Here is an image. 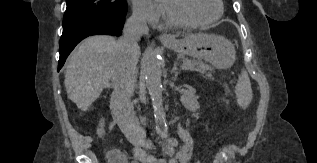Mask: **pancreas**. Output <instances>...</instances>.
I'll list each match as a JSON object with an SVG mask.
<instances>
[{"label":"pancreas","instance_id":"pancreas-1","mask_svg":"<svg viewBox=\"0 0 317 163\" xmlns=\"http://www.w3.org/2000/svg\"><path fill=\"white\" fill-rule=\"evenodd\" d=\"M183 67H186L188 70H193V71H199L203 74H206L208 77H211V72L213 71V68L200 61V60H192L188 58H182Z\"/></svg>","mask_w":317,"mask_h":163}]
</instances>
